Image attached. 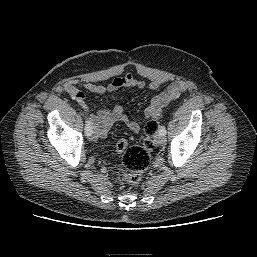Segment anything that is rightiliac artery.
Instances as JSON below:
<instances>
[{"instance_id": "1", "label": "right iliac artery", "mask_w": 257, "mask_h": 257, "mask_svg": "<svg viewBox=\"0 0 257 257\" xmlns=\"http://www.w3.org/2000/svg\"><path fill=\"white\" fill-rule=\"evenodd\" d=\"M85 133H86V136H89L91 133H93L92 123L87 117L85 121Z\"/></svg>"}]
</instances>
